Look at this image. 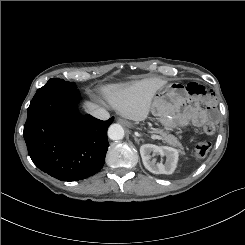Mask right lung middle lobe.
<instances>
[{
  "instance_id": "obj_1",
  "label": "right lung middle lobe",
  "mask_w": 245,
  "mask_h": 245,
  "mask_svg": "<svg viewBox=\"0 0 245 245\" xmlns=\"http://www.w3.org/2000/svg\"><path fill=\"white\" fill-rule=\"evenodd\" d=\"M57 83H66V84H70V85L76 86L75 83H73V82H65L64 80L58 79V78H52V79H50V80L46 83L45 86L51 85V84H57Z\"/></svg>"
}]
</instances>
